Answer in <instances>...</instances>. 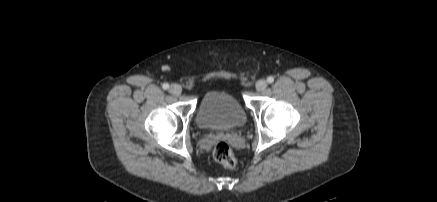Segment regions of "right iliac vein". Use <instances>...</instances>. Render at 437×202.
<instances>
[{"label":"right iliac vein","instance_id":"obj_1","mask_svg":"<svg viewBox=\"0 0 437 202\" xmlns=\"http://www.w3.org/2000/svg\"><path fill=\"white\" fill-rule=\"evenodd\" d=\"M169 92L173 95H180L182 92V88L178 84H172L169 88Z\"/></svg>","mask_w":437,"mask_h":202}]
</instances>
